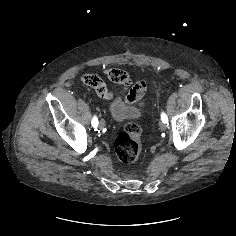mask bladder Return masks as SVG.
I'll list each match as a JSON object with an SVG mask.
<instances>
[{
  "instance_id": "31cf9c89",
  "label": "bladder",
  "mask_w": 236,
  "mask_h": 236,
  "mask_svg": "<svg viewBox=\"0 0 236 236\" xmlns=\"http://www.w3.org/2000/svg\"><path fill=\"white\" fill-rule=\"evenodd\" d=\"M112 119L118 123L130 122L141 116L140 108L131 103H125L119 94L115 95L109 106Z\"/></svg>"
}]
</instances>
